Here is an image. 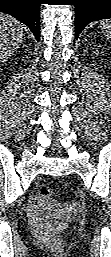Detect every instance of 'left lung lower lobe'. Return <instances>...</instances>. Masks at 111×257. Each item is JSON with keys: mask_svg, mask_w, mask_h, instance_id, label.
<instances>
[{"mask_svg": "<svg viewBox=\"0 0 111 257\" xmlns=\"http://www.w3.org/2000/svg\"><path fill=\"white\" fill-rule=\"evenodd\" d=\"M75 2L76 39L90 22L111 18V0H76Z\"/></svg>", "mask_w": 111, "mask_h": 257, "instance_id": "obj_1", "label": "left lung lower lobe"}]
</instances>
